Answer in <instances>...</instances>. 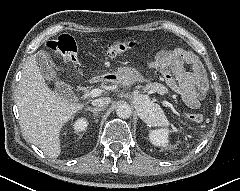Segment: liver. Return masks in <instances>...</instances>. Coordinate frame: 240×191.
I'll return each instance as SVG.
<instances>
[{
	"instance_id": "6515ba94",
	"label": "liver",
	"mask_w": 240,
	"mask_h": 191,
	"mask_svg": "<svg viewBox=\"0 0 240 191\" xmlns=\"http://www.w3.org/2000/svg\"><path fill=\"white\" fill-rule=\"evenodd\" d=\"M38 53L49 56L43 49ZM35 58L36 54L28 57L24 64L15 102L24 137L47 156L56 158L61 154V128L88 102L80 103L74 95L69 98L52 91L40 73Z\"/></svg>"
}]
</instances>
